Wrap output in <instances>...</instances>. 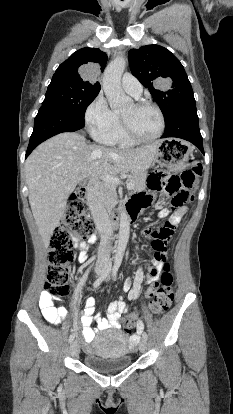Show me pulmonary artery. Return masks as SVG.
<instances>
[{"label": "pulmonary artery", "mask_w": 233, "mask_h": 414, "mask_svg": "<svg viewBox=\"0 0 233 414\" xmlns=\"http://www.w3.org/2000/svg\"><path fill=\"white\" fill-rule=\"evenodd\" d=\"M122 88L128 94L138 98L142 93V85L131 73H125L121 80Z\"/></svg>", "instance_id": "obj_1"}]
</instances>
